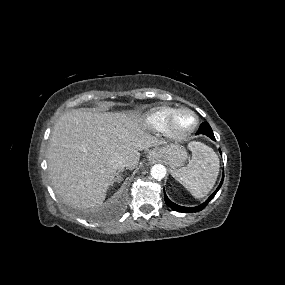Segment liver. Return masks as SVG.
<instances>
[{
	"label": "liver",
	"mask_w": 285,
	"mask_h": 285,
	"mask_svg": "<svg viewBox=\"0 0 285 285\" xmlns=\"http://www.w3.org/2000/svg\"><path fill=\"white\" fill-rule=\"evenodd\" d=\"M145 129L133 112L64 113L53 127L47 152L55 192L73 207H100L117 174L113 159L121 156L133 169L139 151L163 143Z\"/></svg>",
	"instance_id": "liver-1"
}]
</instances>
